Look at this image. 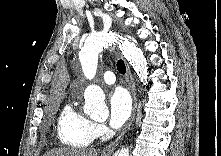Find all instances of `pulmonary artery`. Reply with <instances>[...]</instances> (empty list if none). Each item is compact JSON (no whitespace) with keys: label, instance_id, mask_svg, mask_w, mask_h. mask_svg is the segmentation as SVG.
Here are the masks:
<instances>
[{"label":"pulmonary artery","instance_id":"pulmonary-artery-1","mask_svg":"<svg viewBox=\"0 0 221 156\" xmlns=\"http://www.w3.org/2000/svg\"><path fill=\"white\" fill-rule=\"evenodd\" d=\"M103 81L106 83V84H113L116 80L115 78V75L113 72L111 71H106L104 74H103Z\"/></svg>","mask_w":221,"mask_h":156}]
</instances>
